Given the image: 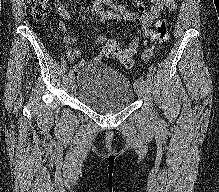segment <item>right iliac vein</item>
I'll return each instance as SVG.
<instances>
[{
  "label": "right iliac vein",
  "instance_id": "63e3f726",
  "mask_svg": "<svg viewBox=\"0 0 219 192\" xmlns=\"http://www.w3.org/2000/svg\"><path fill=\"white\" fill-rule=\"evenodd\" d=\"M69 83L73 89V84H74V75L73 74L69 75Z\"/></svg>",
  "mask_w": 219,
  "mask_h": 192
}]
</instances>
